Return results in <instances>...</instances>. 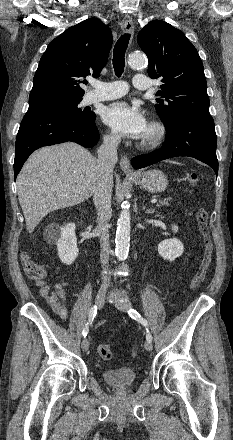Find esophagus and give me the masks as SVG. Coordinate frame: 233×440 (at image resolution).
I'll return each instance as SVG.
<instances>
[{
  "mask_svg": "<svg viewBox=\"0 0 233 440\" xmlns=\"http://www.w3.org/2000/svg\"><path fill=\"white\" fill-rule=\"evenodd\" d=\"M121 29L126 34H132L134 32V24L131 17H125L121 23ZM120 167L124 173L133 174L131 169L130 160L127 156H122L120 160Z\"/></svg>",
  "mask_w": 233,
  "mask_h": 440,
  "instance_id": "esophagus-1",
  "label": "esophagus"
}]
</instances>
